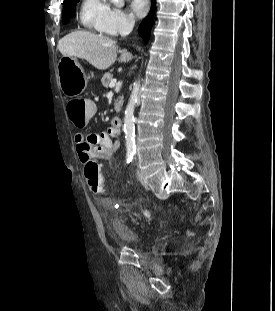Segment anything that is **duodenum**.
I'll list each match as a JSON object with an SVG mask.
<instances>
[{
  "label": "duodenum",
  "mask_w": 275,
  "mask_h": 311,
  "mask_svg": "<svg viewBox=\"0 0 275 311\" xmlns=\"http://www.w3.org/2000/svg\"><path fill=\"white\" fill-rule=\"evenodd\" d=\"M112 124H113L115 127H117V128H121V126H122V121H121V119H120L119 117H114V118L112 119Z\"/></svg>",
  "instance_id": "duodenum-1"
}]
</instances>
